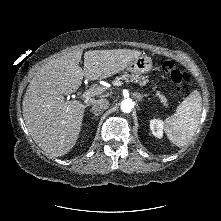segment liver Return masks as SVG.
<instances>
[{
    "instance_id": "obj_1",
    "label": "liver",
    "mask_w": 221,
    "mask_h": 221,
    "mask_svg": "<svg viewBox=\"0 0 221 221\" xmlns=\"http://www.w3.org/2000/svg\"><path fill=\"white\" fill-rule=\"evenodd\" d=\"M82 54L81 50L72 51L42 67L30 81L23 99V117L29 134L52 157H61L75 146L86 108L77 101H66L64 95L76 92L83 77L99 80L123 71L141 52L87 51L81 69ZM102 91L97 89L94 95H102Z\"/></svg>"
}]
</instances>
